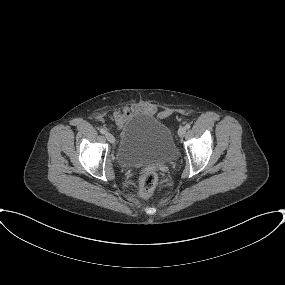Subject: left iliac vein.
<instances>
[{
  "instance_id": "4c4485c4",
  "label": "left iliac vein",
  "mask_w": 285,
  "mask_h": 285,
  "mask_svg": "<svg viewBox=\"0 0 285 285\" xmlns=\"http://www.w3.org/2000/svg\"><path fill=\"white\" fill-rule=\"evenodd\" d=\"M185 134H186V128H185V127H180V128L178 129V135H179L180 137H184Z\"/></svg>"
}]
</instances>
